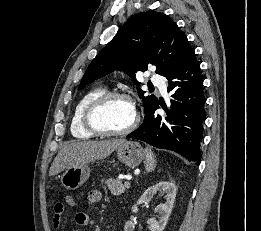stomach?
<instances>
[{
    "instance_id": "obj_1",
    "label": "stomach",
    "mask_w": 261,
    "mask_h": 231,
    "mask_svg": "<svg viewBox=\"0 0 261 231\" xmlns=\"http://www.w3.org/2000/svg\"><path fill=\"white\" fill-rule=\"evenodd\" d=\"M118 159L128 167H137L145 158V151L138 142L124 141L116 148ZM90 167L86 165L66 168L61 175L64 187L75 190L82 186L90 176Z\"/></svg>"
}]
</instances>
